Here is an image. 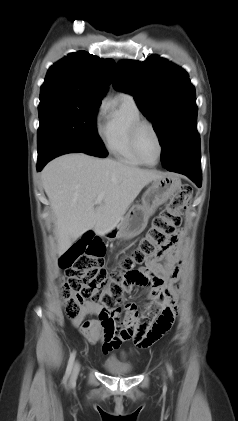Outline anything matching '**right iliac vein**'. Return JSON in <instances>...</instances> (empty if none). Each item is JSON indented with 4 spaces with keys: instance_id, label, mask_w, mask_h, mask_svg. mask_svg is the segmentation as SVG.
Masks as SVG:
<instances>
[{
    "instance_id": "1",
    "label": "right iliac vein",
    "mask_w": 238,
    "mask_h": 421,
    "mask_svg": "<svg viewBox=\"0 0 238 421\" xmlns=\"http://www.w3.org/2000/svg\"><path fill=\"white\" fill-rule=\"evenodd\" d=\"M79 370H80V364H79V362H76L74 364V367H73V371H72V375H71V381H73L77 378Z\"/></svg>"
}]
</instances>
